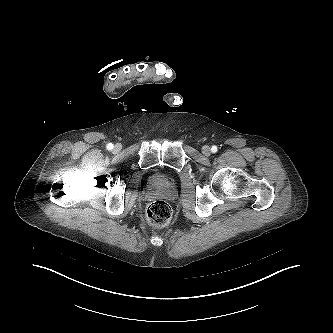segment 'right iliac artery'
Instances as JSON below:
<instances>
[{
    "mask_svg": "<svg viewBox=\"0 0 333 333\" xmlns=\"http://www.w3.org/2000/svg\"><path fill=\"white\" fill-rule=\"evenodd\" d=\"M107 149H108V150L113 149V144H112V143H109V144L107 145Z\"/></svg>",
    "mask_w": 333,
    "mask_h": 333,
    "instance_id": "obj_1",
    "label": "right iliac artery"
}]
</instances>
